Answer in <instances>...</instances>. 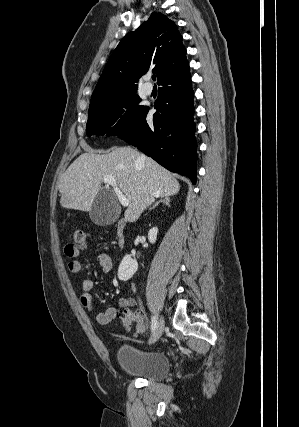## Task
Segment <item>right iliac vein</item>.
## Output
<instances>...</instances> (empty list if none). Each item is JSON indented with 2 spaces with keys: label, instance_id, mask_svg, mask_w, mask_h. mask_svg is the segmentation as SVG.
<instances>
[{
  "label": "right iliac vein",
  "instance_id": "63e3f726",
  "mask_svg": "<svg viewBox=\"0 0 299 427\" xmlns=\"http://www.w3.org/2000/svg\"><path fill=\"white\" fill-rule=\"evenodd\" d=\"M164 327H165L164 319L161 317L157 324L156 329L154 330L152 336L149 339V344L155 343L162 336Z\"/></svg>",
  "mask_w": 299,
  "mask_h": 427
}]
</instances>
